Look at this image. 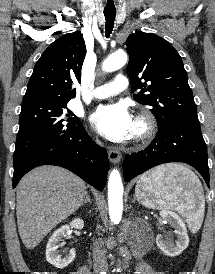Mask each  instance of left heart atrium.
Segmentation results:
<instances>
[{"mask_svg": "<svg viewBox=\"0 0 215 274\" xmlns=\"http://www.w3.org/2000/svg\"><path fill=\"white\" fill-rule=\"evenodd\" d=\"M91 123L107 139L121 142L132 137L135 121L124 103L103 105L91 116Z\"/></svg>", "mask_w": 215, "mask_h": 274, "instance_id": "1", "label": "left heart atrium"}]
</instances>
